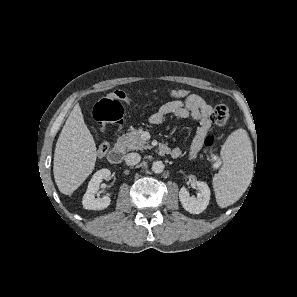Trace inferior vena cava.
<instances>
[{"label": "inferior vena cava", "instance_id": "inferior-vena-cava-1", "mask_svg": "<svg viewBox=\"0 0 297 297\" xmlns=\"http://www.w3.org/2000/svg\"><path fill=\"white\" fill-rule=\"evenodd\" d=\"M141 160V156L140 154L138 153H129L126 155L125 157V163L128 165V166H134L136 164H138Z\"/></svg>", "mask_w": 297, "mask_h": 297}]
</instances>
